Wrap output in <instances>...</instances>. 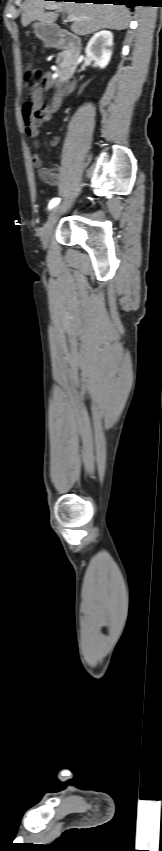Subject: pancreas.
Wrapping results in <instances>:
<instances>
[{
    "label": "pancreas",
    "instance_id": "obj_1",
    "mask_svg": "<svg viewBox=\"0 0 162 851\" xmlns=\"http://www.w3.org/2000/svg\"><path fill=\"white\" fill-rule=\"evenodd\" d=\"M56 63L58 64V67L60 69L63 68L66 65V55L60 54L59 57L57 58Z\"/></svg>",
    "mask_w": 162,
    "mask_h": 851
}]
</instances>
